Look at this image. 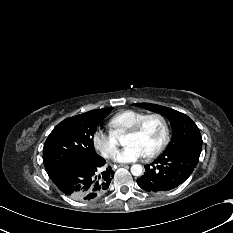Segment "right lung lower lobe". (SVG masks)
<instances>
[{"label": "right lung lower lobe", "instance_id": "1", "mask_svg": "<svg viewBox=\"0 0 233 233\" xmlns=\"http://www.w3.org/2000/svg\"><path fill=\"white\" fill-rule=\"evenodd\" d=\"M105 163L100 156L91 161L72 162L50 179L71 198L91 200L104 193L113 178L111 167L103 168Z\"/></svg>", "mask_w": 233, "mask_h": 233}]
</instances>
